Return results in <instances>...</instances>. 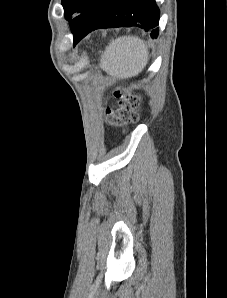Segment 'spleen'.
I'll list each match as a JSON object with an SVG mask.
<instances>
[{
	"instance_id": "3e777b00",
	"label": "spleen",
	"mask_w": 227,
	"mask_h": 298,
	"mask_svg": "<svg viewBox=\"0 0 227 298\" xmlns=\"http://www.w3.org/2000/svg\"><path fill=\"white\" fill-rule=\"evenodd\" d=\"M148 59L147 45L142 39L123 36L112 40L105 48L99 67L114 78L127 79L138 75Z\"/></svg>"
}]
</instances>
